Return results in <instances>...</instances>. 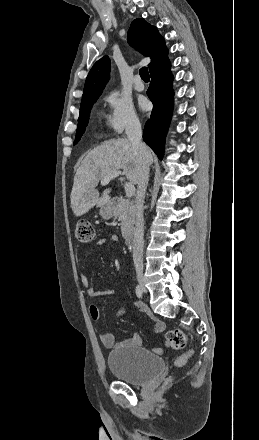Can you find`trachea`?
I'll use <instances>...</instances> for the list:
<instances>
[{
    "label": "trachea",
    "instance_id": "1",
    "mask_svg": "<svg viewBox=\"0 0 259 440\" xmlns=\"http://www.w3.org/2000/svg\"><path fill=\"white\" fill-rule=\"evenodd\" d=\"M139 74H140V77L142 78V80H144V81H149L148 68H146V67H142V68L139 70Z\"/></svg>",
    "mask_w": 259,
    "mask_h": 440
}]
</instances>
